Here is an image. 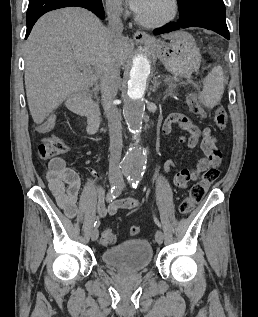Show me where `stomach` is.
Listing matches in <instances>:
<instances>
[{
	"mask_svg": "<svg viewBox=\"0 0 258 317\" xmlns=\"http://www.w3.org/2000/svg\"><path fill=\"white\" fill-rule=\"evenodd\" d=\"M146 44L152 48L154 54L162 60L173 76L189 78L200 66L201 52L192 34L185 30H178L176 38H171L170 42L152 38Z\"/></svg>",
	"mask_w": 258,
	"mask_h": 317,
	"instance_id": "obj_1",
	"label": "stomach"
}]
</instances>
